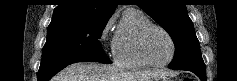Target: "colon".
Segmentation results:
<instances>
[{
	"instance_id": "colon-1",
	"label": "colon",
	"mask_w": 237,
	"mask_h": 81,
	"mask_svg": "<svg viewBox=\"0 0 237 81\" xmlns=\"http://www.w3.org/2000/svg\"><path fill=\"white\" fill-rule=\"evenodd\" d=\"M182 81H191V79L188 78V77H186V78H184Z\"/></svg>"
}]
</instances>
